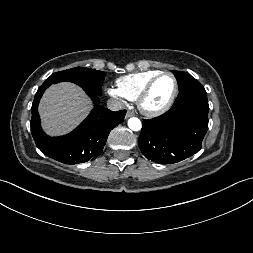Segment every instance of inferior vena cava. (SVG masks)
<instances>
[{
    "mask_svg": "<svg viewBox=\"0 0 253 253\" xmlns=\"http://www.w3.org/2000/svg\"><path fill=\"white\" fill-rule=\"evenodd\" d=\"M107 107L112 111H118L124 109V104L118 99H109L107 101Z\"/></svg>",
    "mask_w": 253,
    "mask_h": 253,
    "instance_id": "602c4592",
    "label": "inferior vena cava"
}]
</instances>
